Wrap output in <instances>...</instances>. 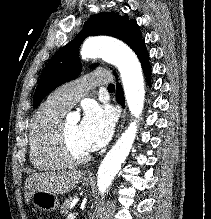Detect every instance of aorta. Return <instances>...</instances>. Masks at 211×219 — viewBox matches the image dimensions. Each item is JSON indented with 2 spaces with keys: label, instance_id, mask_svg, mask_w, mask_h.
Returning <instances> with one entry per match:
<instances>
[{
  "label": "aorta",
  "instance_id": "762f6f07",
  "mask_svg": "<svg viewBox=\"0 0 211 219\" xmlns=\"http://www.w3.org/2000/svg\"><path fill=\"white\" fill-rule=\"evenodd\" d=\"M84 58L101 57L120 71L125 98L133 116L138 118L143 110L145 89L140 62L135 53L125 44L88 39L82 47ZM137 133L136 121L130 123L116 144L106 154L97 173V185L104 194L127 158Z\"/></svg>",
  "mask_w": 211,
  "mask_h": 219
}]
</instances>
